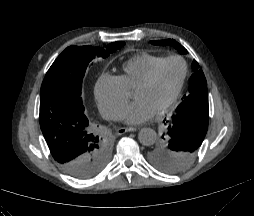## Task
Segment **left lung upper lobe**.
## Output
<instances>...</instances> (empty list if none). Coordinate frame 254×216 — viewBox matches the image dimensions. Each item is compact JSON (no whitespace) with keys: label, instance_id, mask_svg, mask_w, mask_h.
<instances>
[{"label":"left lung upper lobe","instance_id":"obj_1","mask_svg":"<svg viewBox=\"0 0 254 216\" xmlns=\"http://www.w3.org/2000/svg\"><path fill=\"white\" fill-rule=\"evenodd\" d=\"M160 46H174L180 54L187 50L173 39L151 41ZM194 74L189 91L182 98L170 121L167 132L148 151L149 161L158 169L175 174L185 170L196 158L208 128L207 82L199 64L192 63Z\"/></svg>","mask_w":254,"mask_h":216}]
</instances>
